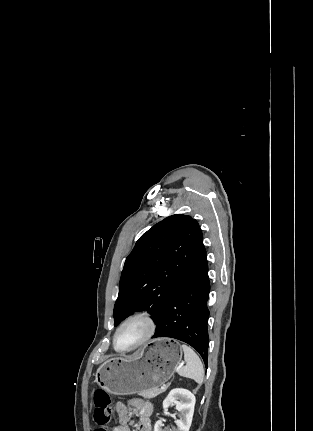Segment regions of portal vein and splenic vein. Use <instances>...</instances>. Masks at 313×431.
<instances>
[{
  "label": "portal vein and splenic vein",
  "instance_id": "obj_1",
  "mask_svg": "<svg viewBox=\"0 0 313 431\" xmlns=\"http://www.w3.org/2000/svg\"><path fill=\"white\" fill-rule=\"evenodd\" d=\"M180 367H182V364H181V365H179V368H180ZM163 388H165V387H162V389H163Z\"/></svg>",
  "mask_w": 313,
  "mask_h": 431
}]
</instances>
